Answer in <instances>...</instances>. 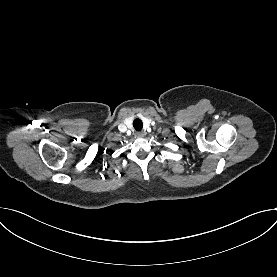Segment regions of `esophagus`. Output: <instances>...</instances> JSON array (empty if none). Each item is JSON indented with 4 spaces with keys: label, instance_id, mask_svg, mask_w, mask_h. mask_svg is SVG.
<instances>
[{
    "label": "esophagus",
    "instance_id": "34e87169",
    "mask_svg": "<svg viewBox=\"0 0 277 277\" xmlns=\"http://www.w3.org/2000/svg\"><path fill=\"white\" fill-rule=\"evenodd\" d=\"M135 136L137 138H143L145 136V132H142V131L141 132H136Z\"/></svg>",
    "mask_w": 277,
    "mask_h": 277
}]
</instances>
